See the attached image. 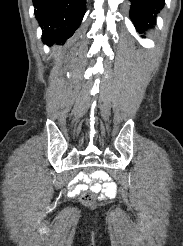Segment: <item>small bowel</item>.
Returning a JSON list of instances; mask_svg holds the SVG:
<instances>
[{
	"label": "small bowel",
	"mask_w": 183,
	"mask_h": 246,
	"mask_svg": "<svg viewBox=\"0 0 183 246\" xmlns=\"http://www.w3.org/2000/svg\"><path fill=\"white\" fill-rule=\"evenodd\" d=\"M109 174L108 170H94L92 178L87 177V174H77L72 188L69 193V198H76L78 194L86 191L90 188L94 192H100L103 190L104 198H116L115 192V178L107 177ZM84 179V183H92L90 186L86 184H76L78 180ZM95 179L97 182H103L104 188L102 189L98 183H95Z\"/></svg>",
	"instance_id": "c3829d8e"
}]
</instances>
